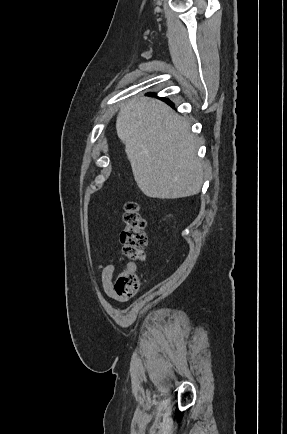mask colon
<instances>
[{"label":"colon","instance_id":"1","mask_svg":"<svg viewBox=\"0 0 287 434\" xmlns=\"http://www.w3.org/2000/svg\"><path fill=\"white\" fill-rule=\"evenodd\" d=\"M125 227L121 233V245L124 255L133 261L145 258L144 249L147 246L145 232L146 222L136 202L126 203L124 208ZM140 287V279L137 270L129 267L123 270L115 284V294L123 299L134 297Z\"/></svg>","mask_w":287,"mask_h":434}]
</instances>
